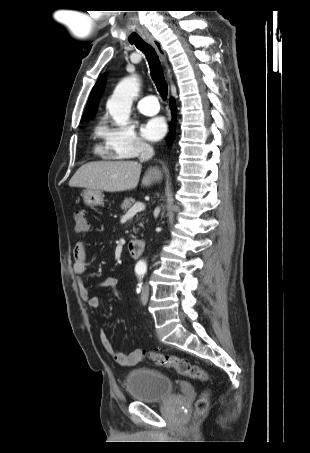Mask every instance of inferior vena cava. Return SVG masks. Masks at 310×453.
Segmentation results:
<instances>
[{"label":"inferior vena cava","instance_id":"1","mask_svg":"<svg viewBox=\"0 0 310 453\" xmlns=\"http://www.w3.org/2000/svg\"><path fill=\"white\" fill-rule=\"evenodd\" d=\"M154 155V150L149 144H144L142 146V151L139 160L141 162L149 160Z\"/></svg>","mask_w":310,"mask_h":453}]
</instances>
